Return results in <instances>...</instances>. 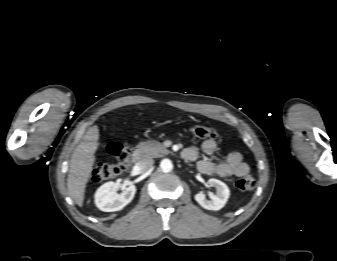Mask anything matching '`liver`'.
I'll return each instance as SVG.
<instances>
[{
  "label": "liver",
  "mask_w": 337,
  "mask_h": 261,
  "mask_svg": "<svg viewBox=\"0 0 337 261\" xmlns=\"http://www.w3.org/2000/svg\"><path fill=\"white\" fill-rule=\"evenodd\" d=\"M99 136L98 126L90 127L75 148L70 160L67 178L68 193L80 207L83 206L86 184L96 160L95 152L98 148Z\"/></svg>",
  "instance_id": "1"
}]
</instances>
